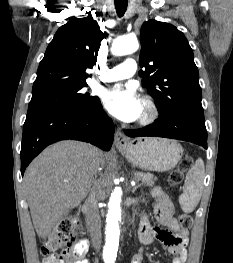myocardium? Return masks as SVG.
I'll return each mask as SVG.
<instances>
[{
  "label": "myocardium",
  "instance_id": "obj_1",
  "mask_svg": "<svg viewBox=\"0 0 233 263\" xmlns=\"http://www.w3.org/2000/svg\"><path fill=\"white\" fill-rule=\"evenodd\" d=\"M142 103L143 111L139 118V125L147 126L157 120L160 110L156 101L148 95L142 97Z\"/></svg>",
  "mask_w": 233,
  "mask_h": 263
}]
</instances>
